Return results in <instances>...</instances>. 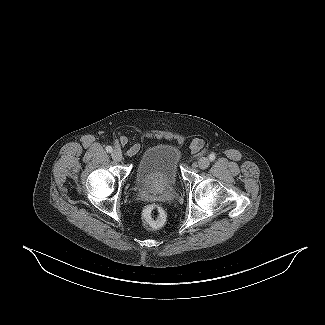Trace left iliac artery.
Returning a JSON list of instances; mask_svg holds the SVG:
<instances>
[{"mask_svg":"<svg viewBox=\"0 0 325 325\" xmlns=\"http://www.w3.org/2000/svg\"><path fill=\"white\" fill-rule=\"evenodd\" d=\"M215 158H216V156H215L214 153H212V154L209 155V159H210L211 161L215 160Z\"/></svg>","mask_w":325,"mask_h":325,"instance_id":"44dca946","label":"left iliac artery"}]
</instances>
